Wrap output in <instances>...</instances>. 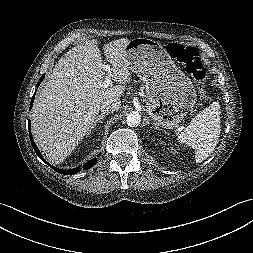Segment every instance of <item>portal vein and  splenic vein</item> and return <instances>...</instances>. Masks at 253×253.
I'll return each instance as SVG.
<instances>
[{"instance_id": "obj_1", "label": "portal vein and splenic vein", "mask_w": 253, "mask_h": 253, "mask_svg": "<svg viewBox=\"0 0 253 253\" xmlns=\"http://www.w3.org/2000/svg\"><path fill=\"white\" fill-rule=\"evenodd\" d=\"M105 70L107 72V76L105 78V81L103 82V86L105 88L109 87L110 84H111V77H112V71H111V68H110V65L106 64L105 65Z\"/></svg>"}]
</instances>
